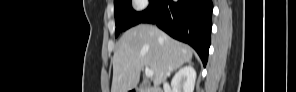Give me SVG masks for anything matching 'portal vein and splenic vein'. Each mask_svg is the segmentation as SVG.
<instances>
[{"label":"portal vein and splenic vein","mask_w":296,"mask_h":92,"mask_svg":"<svg viewBox=\"0 0 296 92\" xmlns=\"http://www.w3.org/2000/svg\"><path fill=\"white\" fill-rule=\"evenodd\" d=\"M145 74H146L147 77L151 78V77H153L154 72L149 67H145Z\"/></svg>","instance_id":"obj_1"}]
</instances>
